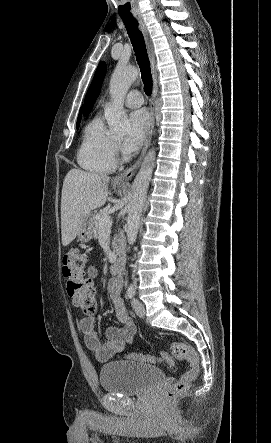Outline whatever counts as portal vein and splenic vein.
<instances>
[{
  "mask_svg": "<svg viewBox=\"0 0 271 443\" xmlns=\"http://www.w3.org/2000/svg\"><path fill=\"white\" fill-rule=\"evenodd\" d=\"M100 225H102V227H106V229H108V227H111L112 222L109 218V216H106V218H102V220H100Z\"/></svg>",
  "mask_w": 271,
  "mask_h": 443,
  "instance_id": "portal-vein-and-splenic-vein-1",
  "label": "portal vein and splenic vein"
}]
</instances>
